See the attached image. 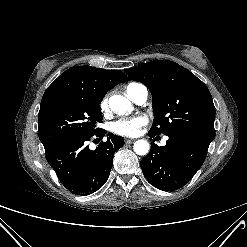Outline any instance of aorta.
I'll use <instances>...</instances> for the list:
<instances>
[{"mask_svg": "<svg viewBox=\"0 0 247 247\" xmlns=\"http://www.w3.org/2000/svg\"><path fill=\"white\" fill-rule=\"evenodd\" d=\"M109 107L113 112L122 114L131 109V102L122 95H113L109 98ZM133 149L137 155H146L150 145L146 140H137Z\"/></svg>", "mask_w": 247, "mask_h": 247, "instance_id": "aorta-1", "label": "aorta"}]
</instances>
